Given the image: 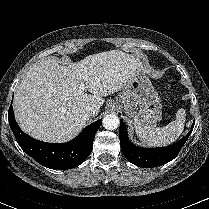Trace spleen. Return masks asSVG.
<instances>
[{"instance_id": "1", "label": "spleen", "mask_w": 209, "mask_h": 209, "mask_svg": "<svg viewBox=\"0 0 209 209\" xmlns=\"http://www.w3.org/2000/svg\"><path fill=\"white\" fill-rule=\"evenodd\" d=\"M186 111L181 108L176 113V119L163 127H148L134 121L136 134L140 141L148 146H166L175 142L184 130Z\"/></svg>"}]
</instances>
